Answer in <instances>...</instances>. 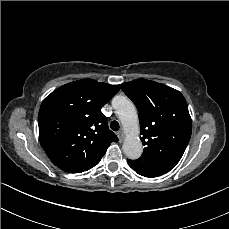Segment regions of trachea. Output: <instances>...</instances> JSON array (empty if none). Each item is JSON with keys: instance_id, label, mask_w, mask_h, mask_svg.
Listing matches in <instances>:
<instances>
[{"instance_id": "obj_1", "label": "trachea", "mask_w": 229, "mask_h": 229, "mask_svg": "<svg viewBox=\"0 0 229 229\" xmlns=\"http://www.w3.org/2000/svg\"><path fill=\"white\" fill-rule=\"evenodd\" d=\"M110 128L113 130V131H118L120 129V125L119 123L116 121V120H113L111 121L110 123Z\"/></svg>"}]
</instances>
